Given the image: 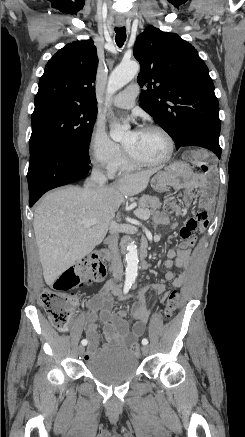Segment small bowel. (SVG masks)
Returning <instances> with one entry per match:
<instances>
[{"instance_id": "c3829d8e", "label": "small bowel", "mask_w": 245, "mask_h": 437, "mask_svg": "<svg viewBox=\"0 0 245 437\" xmlns=\"http://www.w3.org/2000/svg\"><path fill=\"white\" fill-rule=\"evenodd\" d=\"M186 157L189 163H193L197 168L210 169L212 162L207 154H203L201 150H187ZM196 188L203 189L201 199L202 211L194 218H190L184 227L180 230V241L177 249H169L167 251V260L164 262L165 268L169 269L165 274V279L169 281L173 287H180L185 279V270L188 267L191 255V248L196 243V237L191 233L197 230L203 232L209 224L208 210L213 205L214 187L204 178L197 177L194 181ZM192 195H186V203L189 205L192 202ZM177 213L182 214L183 210L177 205L174 206ZM157 221L166 224V219L163 215L157 217ZM176 267L182 272L175 276L170 269ZM114 289V284L108 282L104 287L97 292L89 301L91 314L89 315L86 325V337L89 345L86 352V358H92L98 350L99 336L97 330V320L103 323V334L106 343L102 346V350L111 349L113 347H125L135 342L145 332L146 324L150 317V310L145 302V295L148 291H155L161 299L167 296L165 285L162 283L146 284L142 287L137 297L131 303V314L136 320L132 328L126 321V311L119 310L117 313H112L113 299L111 292Z\"/></svg>"}]
</instances>
